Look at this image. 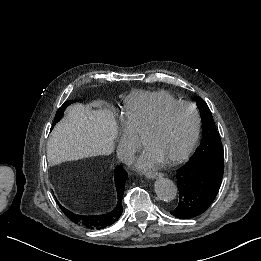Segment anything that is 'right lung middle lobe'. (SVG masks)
I'll return each mask as SVG.
<instances>
[{
	"label": "right lung middle lobe",
	"mask_w": 261,
	"mask_h": 261,
	"mask_svg": "<svg viewBox=\"0 0 261 261\" xmlns=\"http://www.w3.org/2000/svg\"><path fill=\"white\" fill-rule=\"evenodd\" d=\"M74 102L75 101H66V102L63 103V105L59 108V110H58V112H57V114L55 116L54 124L61 120V118L63 116V112L66 109V107L68 105H70L71 103H74Z\"/></svg>",
	"instance_id": "1"
}]
</instances>
